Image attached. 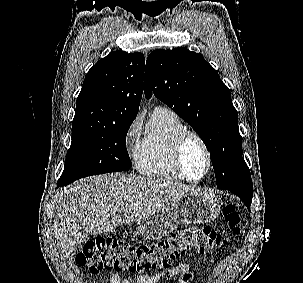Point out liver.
<instances>
[{"label": "liver", "instance_id": "1", "mask_svg": "<svg viewBox=\"0 0 303 283\" xmlns=\"http://www.w3.org/2000/svg\"><path fill=\"white\" fill-rule=\"evenodd\" d=\"M199 191L179 182L122 173L79 180L61 189L56 197L57 248L64 260L71 262L76 249L90 235L139 222L172 200Z\"/></svg>", "mask_w": 303, "mask_h": 283}]
</instances>
